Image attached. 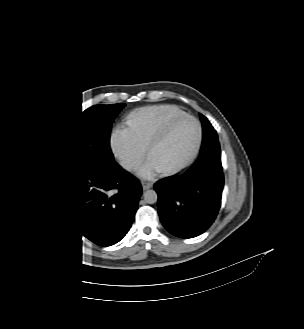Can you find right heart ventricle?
I'll return each instance as SVG.
<instances>
[{
	"mask_svg": "<svg viewBox=\"0 0 304 329\" xmlns=\"http://www.w3.org/2000/svg\"><path fill=\"white\" fill-rule=\"evenodd\" d=\"M184 114L186 112L175 105L146 107L126 120V131L132 140L142 150H145L149 141L162 130L170 119Z\"/></svg>",
	"mask_w": 304,
	"mask_h": 329,
	"instance_id": "obj_1",
	"label": "right heart ventricle"
}]
</instances>
